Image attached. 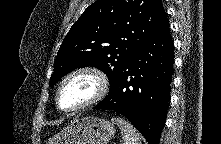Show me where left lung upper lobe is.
<instances>
[{
    "instance_id": "5c2ea615",
    "label": "left lung upper lobe",
    "mask_w": 221,
    "mask_h": 144,
    "mask_svg": "<svg viewBox=\"0 0 221 144\" xmlns=\"http://www.w3.org/2000/svg\"><path fill=\"white\" fill-rule=\"evenodd\" d=\"M165 17L161 0L95 1L64 38L50 86L77 68L92 66L108 76L111 88Z\"/></svg>"
}]
</instances>
